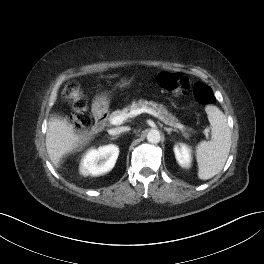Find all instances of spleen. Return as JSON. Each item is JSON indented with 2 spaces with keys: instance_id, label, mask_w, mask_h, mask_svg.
Returning <instances> with one entry per match:
<instances>
[{
  "instance_id": "spleen-1",
  "label": "spleen",
  "mask_w": 264,
  "mask_h": 264,
  "mask_svg": "<svg viewBox=\"0 0 264 264\" xmlns=\"http://www.w3.org/2000/svg\"><path fill=\"white\" fill-rule=\"evenodd\" d=\"M206 113L211 125V140L202 141L196 147L198 177L208 180L224 167L231 147V130L224 113L216 106H207Z\"/></svg>"
}]
</instances>
